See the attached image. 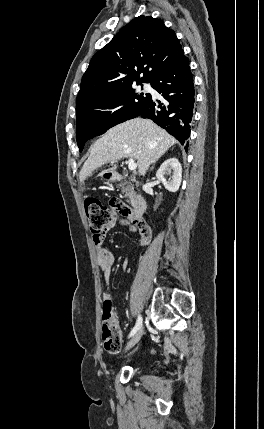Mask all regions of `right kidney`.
Wrapping results in <instances>:
<instances>
[{
    "mask_svg": "<svg viewBox=\"0 0 264 429\" xmlns=\"http://www.w3.org/2000/svg\"><path fill=\"white\" fill-rule=\"evenodd\" d=\"M172 176L167 180L166 175ZM157 179L170 192L178 191L182 180V167L177 158H169L162 163L156 172Z\"/></svg>",
    "mask_w": 264,
    "mask_h": 429,
    "instance_id": "ca27d5eb",
    "label": "right kidney"
}]
</instances>
